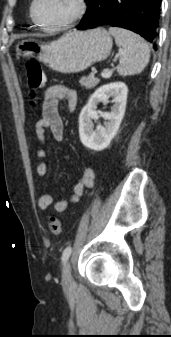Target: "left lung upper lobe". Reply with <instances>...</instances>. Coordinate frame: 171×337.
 Returning a JSON list of instances; mask_svg holds the SVG:
<instances>
[{
	"label": "left lung upper lobe",
	"mask_w": 171,
	"mask_h": 337,
	"mask_svg": "<svg viewBox=\"0 0 171 337\" xmlns=\"http://www.w3.org/2000/svg\"><path fill=\"white\" fill-rule=\"evenodd\" d=\"M85 2L87 3V6H88L91 0H85Z\"/></svg>",
	"instance_id": "5c2ea615"
}]
</instances>
